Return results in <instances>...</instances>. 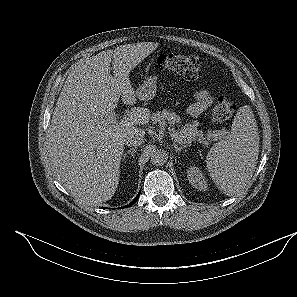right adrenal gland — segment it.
<instances>
[{"label": "right adrenal gland", "mask_w": 297, "mask_h": 297, "mask_svg": "<svg viewBox=\"0 0 297 297\" xmlns=\"http://www.w3.org/2000/svg\"><path fill=\"white\" fill-rule=\"evenodd\" d=\"M135 153H136V148L129 149V150L122 156L123 161L126 159V157H127L128 155H130L131 157L135 158Z\"/></svg>", "instance_id": "obj_1"}]
</instances>
